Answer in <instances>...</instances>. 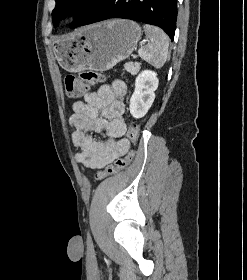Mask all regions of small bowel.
<instances>
[{
    "label": "small bowel",
    "instance_id": "small-bowel-1",
    "mask_svg": "<svg viewBox=\"0 0 247 280\" xmlns=\"http://www.w3.org/2000/svg\"><path fill=\"white\" fill-rule=\"evenodd\" d=\"M126 95V84L117 80L73 103L70 123L75 131L72 141L80 148L76 159L83 168H104L127 153L129 141L124 138L126 123L123 118ZM101 134L104 140L94 137Z\"/></svg>",
    "mask_w": 247,
    "mask_h": 280
}]
</instances>
